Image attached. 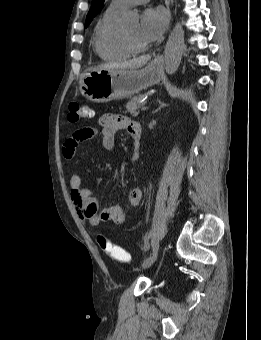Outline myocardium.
<instances>
[{
    "mask_svg": "<svg viewBox=\"0 0 261 340\" xmlns=\"http://www.w3.org/2000/svg\"><path fill=\"white\" fill-rule=\"evenodd\" d=\"M123 40L126 45V47L132 52V53H142L145 52L148 49V46H139L128 36V34L123 31Z\"/></svg>",
    "mask_w": 261,
    "mask_h": 340,
    "instance_id": "obj_1",
    "label": "myocardium"
}]
</instances>
